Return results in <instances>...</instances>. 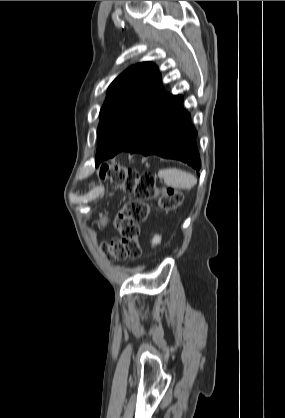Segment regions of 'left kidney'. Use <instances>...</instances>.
I'll return each instance as SVG.
<instances>
[{"instance_id":"5707ae66","label":"left kidney","mask_w":285,"mask_h":418,"mask_svg":"<svg viewBox=\"0 0 285 418\" xmlns=\"http://www.w3.org/2000/svg\"><path fill=\"white\" fill-rule=\"evenodd\" d=\"M161 242V236L156 235L154 236V238L152 239V246L157 245Z\"/></svg>"}]
</instances>
